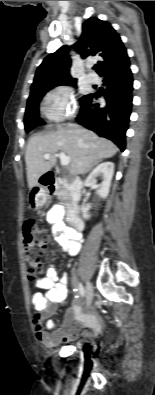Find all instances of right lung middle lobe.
Segmentation results:
<instances>
[{
  "mask_svg": "<svg viewBox=\"0 0 155 395\" xmlns=\"http://www.w3.org/2000/svg\"><path fill=\"white\" fill-rule=\"evenodd\" d=\"M59 85H73V86H75L76 80H69V81H65V82H61L58 84H54V85L45 87L44 89L40 90L38 93H36L35 95H33L31 98L28 99L27 108H26V112H25V119H24L25 130L27 132L32 130L36 126L44 124L43 120L39 117V108H38L39 102L48 90H50L51 88H53L55 86H59Z\"/></svg>",
  "mask_w": 155,
  "mask_h": 395,
  "instance_id": "right-lung-middle-lobe-1",
  "label": "right lung middle lobe"
}]
</instances>
